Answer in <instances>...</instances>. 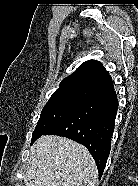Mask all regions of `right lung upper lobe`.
Returning a JSON list of instances; mask_svg holds the SVG:
<instances>
[{
  "instance_id": "obj_1",
  "label": "right lung upper lobe",
  "mask_w": 138,
  "mask_h": 186,
  "mask_svg": "<svg viewBox=\"0 0 138 186\" xmlns=\"http://www.w3.org/2000/svg\"><path fill=\"white\" fill-rule=\"evenodd\" d=\"M81 87L90 90H108L113 88L111 76L103 65L94 60L84 62L77 70L62 80L59 89Z\"/></svg>"
}]
</instances>
